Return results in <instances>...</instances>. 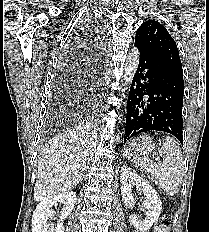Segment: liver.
Here are the masks:
<instances>
[{"label": "liver", "instance_id": "1", "mask_svg": "<svg viewBox=\"0 0 209 232\" xmlns=\"http://www.w3.org/2000/svg\"><path fill=\"white\" fill-rule=\"evenodd\" d=\"M91 133L90 124L78 125L43 149L38 160L35 201L71 190L81 181L89 165Z\"/></svg>", "mask_w": 209, "mask_h": 232}]
</instances>
